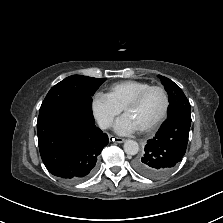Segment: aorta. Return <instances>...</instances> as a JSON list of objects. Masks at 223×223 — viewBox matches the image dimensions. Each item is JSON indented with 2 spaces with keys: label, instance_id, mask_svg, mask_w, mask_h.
<instances>
[{
  "label": "aorta",
  "instance_id": "1",
  "mask_svg": "<svg viewBox=\"0 0 223 223\" xmlns=\"http://www.w3.org/2000/svg\"><path fill=\"white\" fill-rule=\"evenodd\" d=\"M124 151L128 155H136L139 151V145L136 141L134 140H127L124 143Z\"/></svg>",
  "mask_w": 223,
  "mask_h": 223
}]
</instances>
